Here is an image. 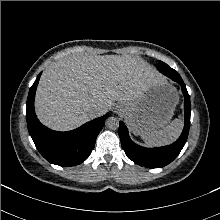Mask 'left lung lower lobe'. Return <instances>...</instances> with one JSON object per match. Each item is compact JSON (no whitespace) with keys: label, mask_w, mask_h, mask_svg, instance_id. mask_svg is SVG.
<instances>
[{"label":"left lung lower lobe","mask_w":220,"mask_h":220,"mask_svg":"<svg viewBox=\"0 0 220 220\" xmlns=\"http://www.w3.org/2000/svg\"><path fill=\"white\" fill-rule=\"evenodd\" d=\"M157 69L181 85L184 95L185 124L181 136L173 144L159 148H144L135 144L130 139L127 127L122 121L119 122V136L125 154L134 163L147 168H160L172 162L184 147L190 127V97L182 78L177 71L169 67L167 64L157 65Z\"/></svg>","instance_id":"0a47b994"}]
</instances>
